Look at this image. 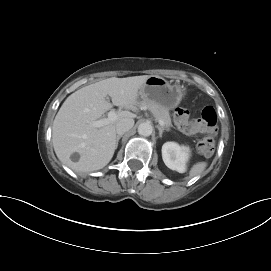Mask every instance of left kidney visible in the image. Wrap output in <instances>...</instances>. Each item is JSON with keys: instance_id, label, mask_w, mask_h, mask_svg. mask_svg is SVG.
<instances>
[{"instance_id": "obj_1", "label": "left kidney", "mask_w": 271, "mask_h": 271, "mask_svg": "<svg viewBox=\"0 0 271 271\" xmlns=\"http://www.w3.org/2000/svg\"><path fill=\"white\" fill-rule=\"evenodd\" d=\"M190 157V149L175 142H166L162 146V158L165 165L179 173L186 171V163Z\"/></svg>"}]
</instances>
